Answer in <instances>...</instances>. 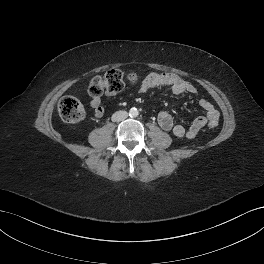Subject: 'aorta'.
<instances>
[{"instance_id": "1", "label": "aorta", "mask_w": 264, "mask_h": 264, "mask_svg": "<svg viewBox=\"0 0 264 264\" xmlns=\"http://www.w3.org/2000/svg\"><path fill=\"white\" fill-rule=\"evenodd\" d=\"M139 115V111L137 108H131L129 111V116L130 117H137Z\"/></svg>"}]
</instances>
